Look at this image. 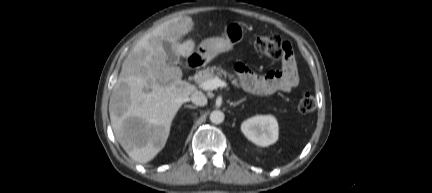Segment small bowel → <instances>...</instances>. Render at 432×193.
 I'll return each mask as SVG.
<instances>
[{
	"mask_svg": "<svg viewBox=\"0 0 432 193\" xmlns=\"http://www.w3.org/2000/svg\"><path fill=\"white\" fill-rule=\"evenodd\" d=\"M240 83L245 90L257 95H271L276 92H290L297 87L299 77L292 57L284 59L281 70L258 75L246 65L239 62L235 65Z\"/></svg>",
	"mask_w": 432,
	"mask_h": 193,
	"instance_id": "c3829d8e",
	"label": "small bowel"
}]
</instances>
